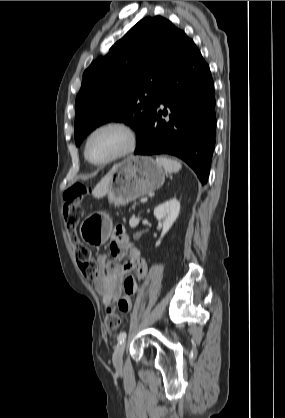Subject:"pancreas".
Segmentation results:
<instances>
[{
	"label": "pancreas",
	"mask_w": 285,
	"mask_h": 418,
	"mask_svg": "<svg viewBox=\"0 0 285 418\" xmlns=\"http://www.w3.org/2000/svg\"><path fill=\"white\" fill-rule=\"evenodd\" d=\"M136 204H134L132 207L135 208Z\"/></svg>",
	"instance_id": "obj_1"
}]
</instances>
